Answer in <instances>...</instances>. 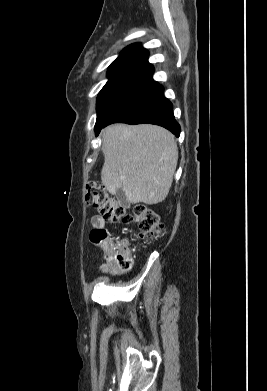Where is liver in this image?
I'll list each match as a JSON object with an SVG mask.
<instances>
[{
	"mask_svg": "<svg viewBox=\"0 0 267 391\" xmlns=\"http://www.w3.org/2000/svg\"><path fill=\"white\" fill-rule=\"evenodd\" d=\"M102 184L112 195L121 188L132 203L153 205L168 195L178 161L174 136L150 124H113L102 131Z\"/></svg>",
	"mask_w": 267,
	"mask_h": 391,
	"instance_id": "1",
	"label": "liver"
}]
</instances>
